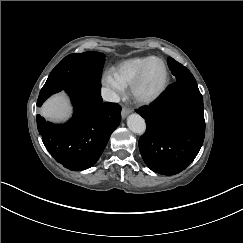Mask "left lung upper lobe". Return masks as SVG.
I'll return each instance as SVG.
<instances>
[{"label":"left lung upper lobe","mask_w":243,"mask_h":243,"mask_svg":"<svg viewBox=\"0 0 243 243\" xmlns=\"http://www.w3.org/2000/svg\"><path fill=\"white\" fill-rule=\"evenodd\" d=\"M167 63L172 74L176 77V82H196L192 73L173 58L168 57Z\"/></svg>","instance_id":"5c2ea615"}]
</instances>
